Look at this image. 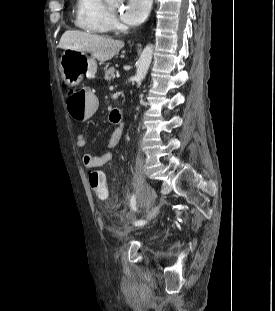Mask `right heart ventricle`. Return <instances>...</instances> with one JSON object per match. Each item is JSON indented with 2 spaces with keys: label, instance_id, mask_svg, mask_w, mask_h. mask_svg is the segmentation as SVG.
<instances>
[{
  "label": "right heart ventricle",
  "instance_id": "e07e8e85",
  "mask_svg": "<svg viewBox=\"0 0 275 311\" xmlns=\"http://www.w3.org/2000/svg\"><path fill=\"white\" fill-rule=\"evenodd\" d=\"M110 18L105 0H76L74 24L81 31L95 35L106 34L110 28Z\"/></svg>",
  "mask_w": 275,
  "mask_h": 311
}]
</instances>
